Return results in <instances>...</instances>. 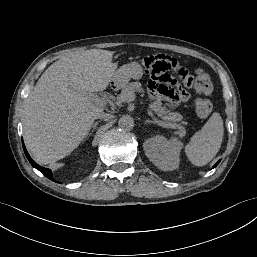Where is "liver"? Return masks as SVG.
Listing matches in <instances>:
<instances>
[{
  "label": "liver",
  "mask_w": 257,
  "mask_h": 257,
  "mask_svg": "<svg viewBox=\"0 0 257 257\" xmlns=\"http://www.w3.org/2000/svg\"><path fill=\"white\" fill-rule=\"evenodd\" d=\"M113 52L89 49L72 52L49 66L29 94L24 110V139L40 164L54 163L76 149L103 105L91 92L105 90L117 63Z\"/></svg>",
  "instance_id": "obj_1"
}]
</instances>
